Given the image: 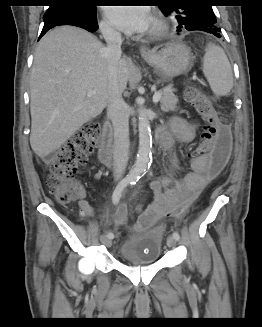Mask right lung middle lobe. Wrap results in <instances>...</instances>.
Masks as SVG:
<instances>
[{
    "label": "right lung middle lobe",
    "instance_id": "obj_1",
    "mask_svg": "<svg viewBox=\"0 0 262 327\" xmlns=\"http://www.w3.org/2000/svg\"><path fill=\"white\" fill-rule=\"evenodd\" d=\"M60 2L64 3L62 5L64 6H68V7H74L77 8L79 10H83V11H96V6L92 5V4H87V5H76L74 4L75 0H59Z\"/></svg>",
    "mask_w": 262,
    "mask_h": 327
}]
</instances>
